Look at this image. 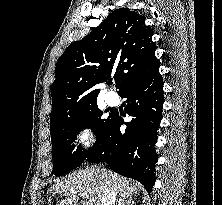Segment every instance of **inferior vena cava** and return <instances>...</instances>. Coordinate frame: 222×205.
<instances>
[{
	"mask_svg": "<svg viewBox=\"0 0 222 205\" xmlns=\"http://www.w3.org/2000/svg\"><path fill=\"white\" fill-rule=\"evenodd\" d=\"M117 192L113 186L105 188L104 194L101 197V205H115Z\"/></svg>",
	"mask_w": 222,
	"mask_h": 205,
	"instance_id": "inferior-vena-cava-1",
	"label": "inferior vena cava"
}]
</instances>
